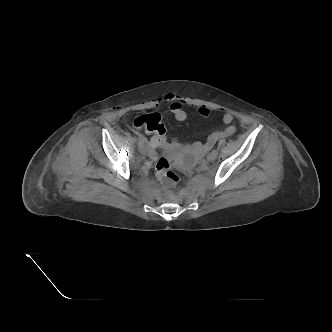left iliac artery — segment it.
Instances as JSON below:
<instances>
[{
	"label": "left iliac artery",
	"instance_id": "1",
	"mask_svg": "<svg viewBox=\"0 0 332 332\" xmlns=\"http://www.w3.org/2000/svg\"><path fill=\"white\" fill-rule=\"evenodd\" d=\"M212 153H213L214 155H217V154H218V151L214 149V150L212 151Z\"/></svg>",
	"mask_w": 332,
	"mask_h": 332
}]
</instances>
